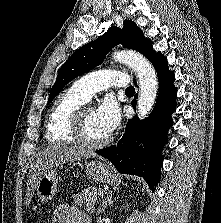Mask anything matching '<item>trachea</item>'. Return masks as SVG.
Listing matches in <instances>:
<instances>
[{"mask_svg":"<svg viewBox=\"0 0 221 223\" xmlns=\"http://www.w3.org/2000/svg\"><path fill=\"white\" fill-rule=\"evenodd\" d=\"M125 92H126V93H134V92H135V89H134V87L130 86V87H128V88L126 89Z\"/></svg>","mask_w":221,"mask_h":223,"instance_id":"3493384b","label":"trachea"}]
</instances>
